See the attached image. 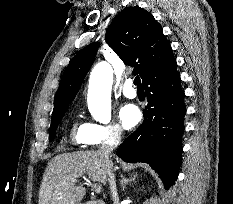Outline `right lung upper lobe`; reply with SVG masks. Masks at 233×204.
<instances>
[{
    "instance_id": "1",
    "label": "right lung upper lobe",
    "mask_w": 233,
    "mask_h": 204,
    "mask_svg": "<svg viewBox=\"0 0 233 204\" xmlns=\"http://www.w3.org/2000/svg\"><path fill=\"white\" fill-rule=\"evenodd\" d=\"M106 41L125 64L135 67L143 84L176 63L162 26L150 12L138 6L119 13L108 27ZM97 47L93 43L80 50L65 69L54 99L52 119L66 112L94 61Z\"/></svg>"
}]
</instances>
